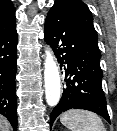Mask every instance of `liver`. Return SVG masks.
<instances>
[{
  "label": "liver",
  "instance_id": "obj_1",
  "mask_svg": "<svg viewBox=\"0 0 117 131\" xmlns=\"http://www.w3.org/2000/svg\"><path fill=\"white\" fill-rule=\"evenodd\" d=\"M9 124L7 120L0 115V131H9Z\"/></svg>",
  "mask_w": 117,
  "mask_h": 131
}]
</instances>
